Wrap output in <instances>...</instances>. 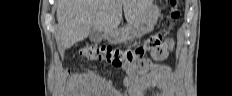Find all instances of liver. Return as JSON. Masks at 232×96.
I'll return each mask as SVG.
<instances>
[{
	"label": "liver",
	"mask_w": 232,
	"mask_h": 96,
	"mask_svg": "<svg viewBox=\"0 0 232 96\" xmlns=\"http://www.w3.org/2000/svg\"><path fill=\"white\" fill-rule=\"evenodd\" d=\"M152 0H58L57 20L63 48L83 41L95 27L109 33L118 29L122 8L128 23H135L150 8Z\"/></svg>",
	"instance_id": "1"
}]
</instances>
